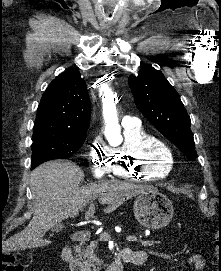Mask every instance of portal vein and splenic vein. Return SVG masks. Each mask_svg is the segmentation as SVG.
<instances>
[{"label": "portal vein and splenic vein", "mask_w": 221, "mask_h": 271, "mask_svg": "<svg viewBox=\"0 0 221 271\" xmlns=\"http://www.w3.org/2000/svg\"><path fill=\"white\" fill-rule=\"evenodd\" d=\"M101 242H108V238H110V233H107V231H102ZM124 239L126 238L127 242H138L137 234H124L122 236Z\"/></svg>", "instance_id": "1"}]
</instances>
